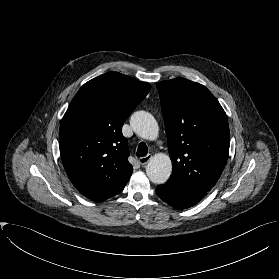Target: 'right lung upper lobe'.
<instances>
[{
    "mask_svg": "<svg viewBox=\"0 0 279 279\" xmlns=\"http://www.w3.org/2000/svg\"><path fill=\"white\" fill-rule=\"evenodd\" d=\"M150 87L111 71L85 83L72 99L61 121L59 147L69 179L85 197L106 200L127 184L133 167L122 126Z\"/></svg>",
    "mask_w": 279,
    "mask_h": 279,
    "instance_id": "cb5924a9",
    "label": "right lung upper lobe"
}]
</instances>
